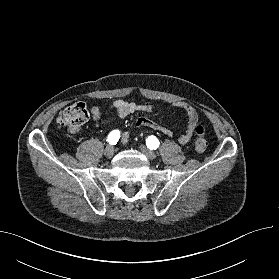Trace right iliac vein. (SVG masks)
Segmentation results:
<instances>
[{
    "label": "right iliac vein",
    "mask_w": 279,
    "mask_h": 279,
    "mask_svg": "<svg viewBox=\"0 0 279 279\" xmlns=\"http://www.w3.org/2000/svg\"><path fill=\"white\" fill-rule=\"evenodd\" d=\"M104 154L106 157L111 158L114 154V147L112 145H108L104 150Z\"/></svg>",
    "instance_id": "1"
}]
</instances>
